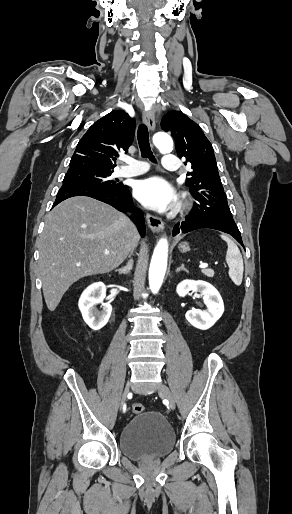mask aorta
Instances as JSON below:
<instances>
[{
    "instance_id": "1",
    "label": "aorta",
    "mask_w": 292,
    "mask_h": 514,
    "mask_svg": "<svg viewBox=\"0 0 292 514\" xmlns=\"http://www.w3.org/2000/svg\"><path fill=\"white\" fill-rule=\"evenodd\" d=\"M153 144L160 150L161 154H169L173 150V140L164 132H158L153 136ZM167 258L168 242L162 238L154 250L149 270V286L153 294H157L162 286L167 268Z\"/></svg>"
}]
</instances>
